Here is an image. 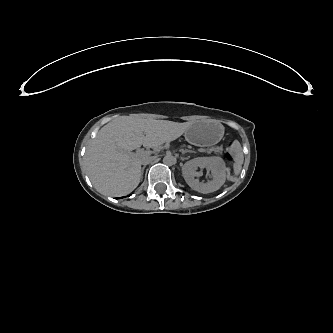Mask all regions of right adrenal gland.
I'll return each instance as SVG.
<instances>
[{"instance_id": "1", "label": "right adrenal gland", "mask_w": 333, "mask_h": 333, "mask_svg": "<svg viewBox=\"0 0 333 333\" xmlns=\"http://www.w3.org/2000/svg\"><path fill=\"white\" fill-rule=\"evenodd\" d=\"M145 168H146V166L142 167V169H141V178H143V173H144Z\"/></svg>"}]
</instances>
